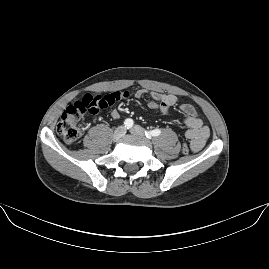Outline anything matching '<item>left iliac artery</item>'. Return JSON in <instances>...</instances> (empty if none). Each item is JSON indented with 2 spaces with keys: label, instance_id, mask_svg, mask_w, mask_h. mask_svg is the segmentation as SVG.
<instances>
[{
  "label": "left iliac artery",
  "instance_id": "44dca946",
  "mask_svg": "<svg viewBox=\"0 0 269 269\" xmlns=\"http://www.w3.org/2000/svg\"><path fill=\"white\" fill-rule=\"evenodd\" d=\"M161 133V131L159 129H155V130H152V131H145V135L147 138H152L154 136H159Z\"/></svg>",
  "mask_w": 269,
  "mask_h": 269
}]
</instances>
